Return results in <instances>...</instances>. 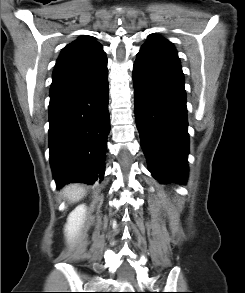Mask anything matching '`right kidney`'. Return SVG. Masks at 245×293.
<instances>
[{
  "label": "right kidney",
  "instance_id": "1",
  "mask_svg": "<svg viewBox=\"0 0 245 293\" xmlns=\"http://www.w3.org/2000/svg\"><path fill=\"white\" fill-rule=\"evenodd\" d=\"M86 206L84 204L77 206L68 216L65 225V234L71 239L79 232L85 217Z\"/></svg>",
  "mask_w": 245,
  "mask_h": 293
}]
</instances>
